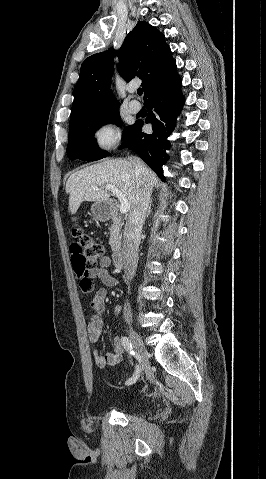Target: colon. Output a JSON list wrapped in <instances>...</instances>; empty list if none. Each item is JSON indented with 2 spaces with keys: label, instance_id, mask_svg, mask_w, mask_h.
<instances>
[{
  "label": "colon",
  "instance_id": "obj_1",
  "mask_svg": "<svg viewBox=\"0 0 266 479\" xmlns=\"http://www.w3.org/2000/svg\"><path fill=\"white\" fill-rule=\"evenodd\" d=\"M71 234L74 238L70 247L72 267L79 279L82 292L89 293L93 289L89 272L96 268L98 261L103 257L104 248L80 226H74Z\"/></svg>",
  "mask_w": 266,
  "mask_h": 479
}]
</instances>
